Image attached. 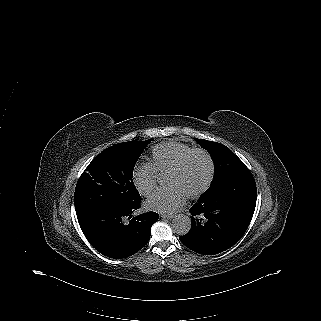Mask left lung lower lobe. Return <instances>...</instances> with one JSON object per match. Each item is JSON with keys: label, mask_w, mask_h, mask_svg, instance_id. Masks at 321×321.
I'll list each match as a JSON object with an SVG mask.
<instances>
[{"label": "left lung lower lobe", "mask_w": 321, "mask_h": 321, "mask_svg": "<svg viewBox=\"0 0 321 321\" xmlns=\"http://www.w3.org/2000/svg\"><path fill=\"white\" fill-rule=\"evenodd\" d=\"M257 199L251 173L235 176L218 189L202 195L190 208L191 230L180 241L205 255L232 247L245 233L253 217Z\"/></svg>", "instance_id": "left-lung-lower-lobe-1"}]
</instances>
